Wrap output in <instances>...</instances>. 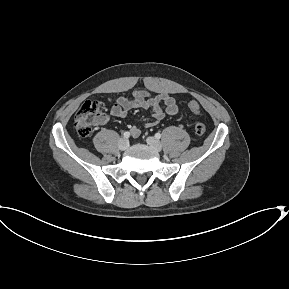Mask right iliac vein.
<instances>
[{
    "label": "right iliac vein",
    "instance_id": "obj_1",
    "mask_svg": "<svg viewBox=\"0 0 289 289\" xmlns=\"http://www.w3.org/2000/svg\"><path fill=\"white\" fill-rule=\"evenodd\" d=\"M129 147V141L125 138H121L118 142V148L120 150H126Z\"/></svg>",
    "mask_w": 289,
    "mask_h": 289
}]
</instances>
